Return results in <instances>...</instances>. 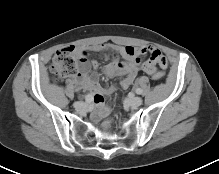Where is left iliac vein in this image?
Here are the masks:
<instances>
[{"instance_id":"1","label":"left iliac vein","mask_w":219,"mask_h":174,"mask_svg":"<svg viewBox=\"0 0 219 174\" xmlns=\"http://www.w3.org/2000/svg\"><path fill=\"white\" fill-rule=\"evenodd\" d=\"M143 100L141 97L135 96L128 99V104L132 107H138L142 104Z\"/></svg>"}]
</instances>
